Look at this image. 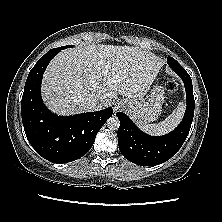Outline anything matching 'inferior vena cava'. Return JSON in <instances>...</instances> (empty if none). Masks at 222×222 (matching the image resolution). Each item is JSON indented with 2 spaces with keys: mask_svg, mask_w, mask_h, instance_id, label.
<instances>
[{
  "mask_svg": "<svg viewBox=\"0 0 222 222\" xmlns=\"http://www.w3.org/2000/svg\"><path fill=\"white\" fill-rule=\"evenodd\" d=\"M84 104L89 111L98 110L100 108L99 100L96 97H87L84 100Z\"/></svg>",
  "mask_w": 222,
  "mask_h": 222,
  "instance_id": "1",
  "label": "inferior vena cava"
}]
</instances>
